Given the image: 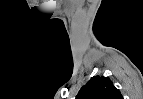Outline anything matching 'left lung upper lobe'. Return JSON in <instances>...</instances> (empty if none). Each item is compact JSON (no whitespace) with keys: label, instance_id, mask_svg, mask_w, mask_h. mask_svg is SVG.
<instances>
[{"label":"left lung upper lobe","instance_id":"1","mask_svg":"<svg viewBox=\"0 0 143 99\" xmlns=\"http://www.w3.org/2000/svg\"><path fill=\"white\" fill-rule=\"evenodd\" d=\"M76 99H123V97L108 77L95 76L80 89Z\"/></svg>","mask_w":143,"mask_h":99}]
</instances>
